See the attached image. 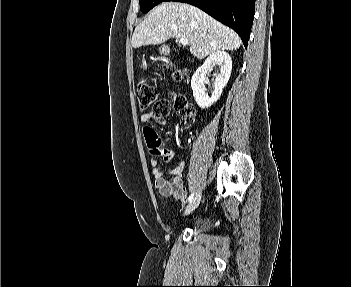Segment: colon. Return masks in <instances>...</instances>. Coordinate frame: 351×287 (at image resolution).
<instances>
[{"instance_id":"5ec220e1","label":"colon","mask_w":351,"mask_h":287,"mask_svg":"<svg viewBox=\"0 0 351 287\" xmlns=\"http://www.w3.org/2000/svg\"><path fill=\"white\" fill-rule=\"evenodd\" d=\"M167 65L172 70L173 79L179 81L184 78V70L178 68L172 63H167ZM136 97L140 110H146L153 105L155 115L163 117L169 113L171 107H174L181 115V125L183 127L191 126L194 121V110L186 97L182 94L172 92L170 94V99L157 100L156 87L148 82H141L136 87Z\"/></svg>"}]
</instances>
